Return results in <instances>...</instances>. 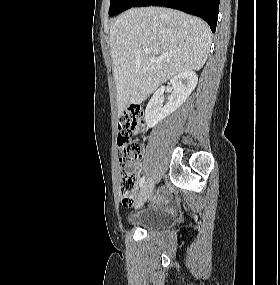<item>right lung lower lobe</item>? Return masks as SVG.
<instances>
[{
  "instance_id": "obj_1",
  "label": "right lung lower lobe",
  "mask_w": 280,
  "mask_h": 285,
  "mask_svg": "<svg viewBox=\"0 0 280 285\" xmlns=\"http://www.w3.org/2000/svg\"><path fill=\"white\" fill-rule=\"evenodd\" d=\"M220 0H138L132 7L164 6L196 15L205 20L212 32L216 30Z\"/></svg>"
}]
</instances>
